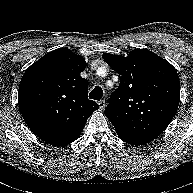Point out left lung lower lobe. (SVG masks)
<instances>
[{
    "label": "left lung lower lobe",
    "mask_w": 193,
    "mask_h": 193,
    "mask_svg": "<svg viewBox=\"0 0 193 193\" xmlns=\"http://www.w3.org/2000/svg\"><path fill=\"white\" fill-rule=\"evenodd\" d=\"M117 135L126 143L135 145V146L144 145L157 137L154 135H131V134H121V133H117Z\"/></svg>",
    "instance_id": "left-lung-lower-lobe-1"
}]
</instances>
